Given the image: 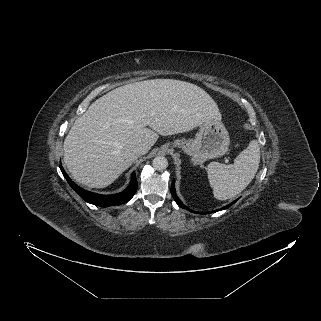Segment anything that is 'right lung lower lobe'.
<instances>
[{"label": "right lung lower lobe", "instance_id": "obj_1", "mask_svg": "<svg viewBox=\"0 0 321 321\" xmlns=\"http://www.w3.org/2000/svg\"><path fill=\"white\" fill-rule=\"evenodd\" d=\"M60 169L63 176L65 177L69 185L72 187V189L86 202L96 206L108 207V206L123 204L129 201L134 196L137 190V179H136L135 173L132 174L131 182L124 191L113 195H101V194L86 191L80 188L79 186H77L66 174L61 163H60Z\"/></svg>", "mask_w": 321, "mask_h": 321}]
</instances>
